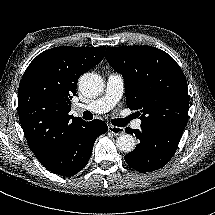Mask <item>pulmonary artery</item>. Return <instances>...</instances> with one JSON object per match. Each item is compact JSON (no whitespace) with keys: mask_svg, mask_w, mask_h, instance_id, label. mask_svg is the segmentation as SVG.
Returning a JSON list of instances; mask_svg holds the SVG:
<instances>
[{"mask_svg":"<svg viewBox=\"0 0 215 215\" xmlns=\"http://www.w3.org/2000/svg\"><path fill=\"white\" fill-rule=\"evenodd\" d=\"M124 92V79L117 73L108 74L105 92L99 99L89 105L78 104L76 112L91 111L93 113L107 112L113 108L122 98ZM129 128L132 131H139L142 128V120L132 118L129 121Z\"/></svg>","mask_w":215,"mask_h":215,"instance_id":"obj_1","label":"pulmonary artery"}]
</instances>
